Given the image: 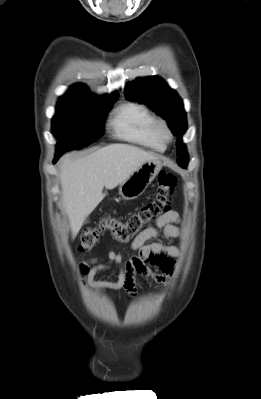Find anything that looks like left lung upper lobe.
Segmentation results:
<instances>
[{
	"mask_svg": "<svg viewBox=\"0 0 261 399\" xmlns=\"http://www.w3.org/2000/svg\"><path fill=\"white\" fill-rule=\"evenodd\" d=\"M125 96L129 100L148 105L169 123V128L177 136V162L181 167L187 166L188 154L181 141L187 130L186 113L177 93L160 77L151 76L137 78L128 84L125 88Z\"/></svg>",
	"mask_w": 261,
	"mask_h": 399,
	"instance_id": "left-lung-upper-lobe-1",
	"label": "left lung upper lobe"
}]
</instances>
